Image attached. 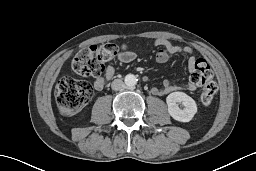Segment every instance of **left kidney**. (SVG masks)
<instances>
[{
  "instance_id": "left-kidney-1",
  "label": "left kidney",
  "mask_w": 256,
  "mask_h": 171,
  "mask_svg": "<svg viewBox=\"0 0 256 171\" xmlns=\"http://www.w3.org/2000/svg\"><path fill=\"white\" fill-rule=\"evenodd\" d=\"M166 102L171 117L180 122L191 121L197 112L196 102L184 92L170 93L166 98ZM179 103L184 108H180Z\"/></svg>"
}]
</instances>
